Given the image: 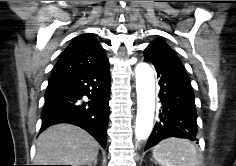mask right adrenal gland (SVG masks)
<instances>
[{"label":"right adrenal gland","instance_id":"obj_1","mask_svg":"<svg viewBox=\"0 0 236 166\" xmlns=\"http://www.w3.org/2000/svg\"><path fill=\"white\" fill-rule=\"evenodd\" d=\"M96 164H97V159L94 160L93 166H96ZM89 166H92V164H90Z\"/></svg>","mask_w":236,"mask_h":166}]
</instances>
